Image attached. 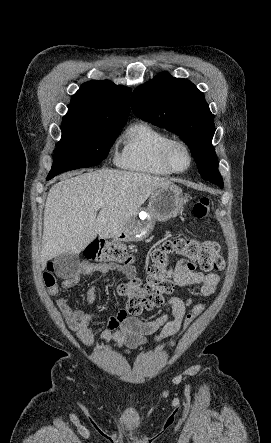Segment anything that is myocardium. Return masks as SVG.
Wrapping results in <instances>:
<instances>
[{"label":"myocardium","mask_w":271,"mask_h":443,"mask_svg":"<svg viewBox=\"0 0 271 443\" xmlns=\"http://www.w3.org/2000/svg\"><path fill=\"white\" fill-rule=\"evenodd\" d=\"M175 144H181V145H183V146L186 148V150L188 151V153H189V156H190V165H189V167H188L187 169H184V170H179V169H177V168L174 166V164H173V162H172V160H171L170 152H171V148H172ZM162 158H163L164 162L166 163V165H167V166H168V167H169L174 173H177V174H181V173H185V172L189 171V170L193 167L194 162H195V156H194V152H193L191 146H190L185 140L180 139V138H176V137H171V138H169V139L166 141V143L164 144V146H163V148H162Z\"/></svg>","instance_id":"f54148a6"}]
</instances>
